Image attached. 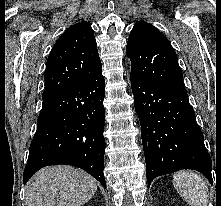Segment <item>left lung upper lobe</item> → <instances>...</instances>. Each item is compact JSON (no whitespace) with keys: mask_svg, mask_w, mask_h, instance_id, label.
<instances>
[{"mask_svg":"<svg viewBox=\"0 0 221 206\" xmlns=\"http://www.w3.org/2000/svg\"><path fill=\"white\" fill-rule=\"evenodd\" d=\"M126 50L131 58L132 77L187 94L176 52L156 27L144 21L136 22Z\"/></svg>","mask_w":221,"mask_h":206,"instance_id":"left-lung-upper-lobe-1","label":"left lung upper lobe"}]
</instances>
